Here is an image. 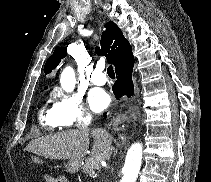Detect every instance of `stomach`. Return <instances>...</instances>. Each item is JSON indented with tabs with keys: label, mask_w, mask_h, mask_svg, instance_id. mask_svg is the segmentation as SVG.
<instances>
[{
	"label": "stomach",
	"mask_w": 211,
	"mask_h": 182,
	"mask_svg": "<svg viewBox=\"0 0 211 182\" xmlns=\"http://www.w3.org/2000/svg\"><path fill=\"white\" fill-rule=\"evenodd\" d=\"M81 166V160H69L65 164V171L69 174H75L79 171Z\"/></svg>",
	"instance_id": "obj_1"
}]
</instances>
